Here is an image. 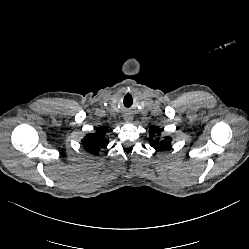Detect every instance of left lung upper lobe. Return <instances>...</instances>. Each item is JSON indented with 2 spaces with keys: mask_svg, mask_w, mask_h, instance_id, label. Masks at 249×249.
<instances>
[{
  "mask_svg": "<svg viewBox=\"0 0 249 249\" xmlns=\"http://www.w3.org/2000/svg\"><path fill=\"white\" fill-rule=\"evenodd\" d=\"M162 130L158 127H152L149 130V136H150V145L157 149V150H165L169 147L170 141H168V137L165 138V140H161L158 136H160V132ZM170 139V138H169ZM171 140V139H170Z\"/></svg>",
  "mask_w": 249,
  "mask_h": 249,
  "instance_id": "left-lung-upper-lobe-1",
  "label": "left lung upper lobe"
}]
</instances>
